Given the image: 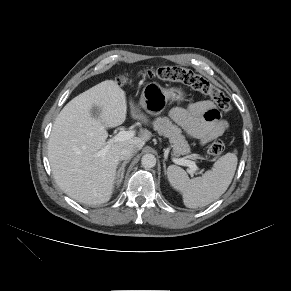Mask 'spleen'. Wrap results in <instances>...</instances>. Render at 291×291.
<instances>
[{"mask_svg": "<svg viewBox=\"0 0 291 291\" xmlns=\"http://www.w3.org/2000/svg\"><path fill=\"white\" fill-rule=\"evenodd\" d=\"M236 153H227L201 177L190 179L185 170L176 165L168 167L170 185L182 194L188 208L204 207L217 200L228 189L237 167Z\"/></svg>", "mask_w": 291, "mask_h": 291, "instance_id": "spleen-1", "label": "spleen"}]
</instances>
